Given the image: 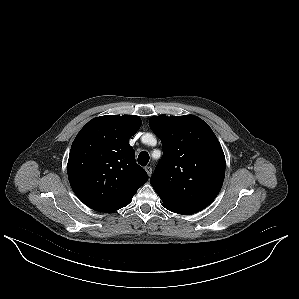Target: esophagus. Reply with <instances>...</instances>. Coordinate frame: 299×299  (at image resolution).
Returning a JSON list of instances; mask_svg holds the SVG:
<instances>
[{
	"label": "esophagus",
	"mask_w": 299,
	"mask_h": 299,
	"mask_svg": "<svg viewBox=\"0 0 299 299\" xmlns=\"http://www.w3.org/2000/svg\"><path fill=\"white\" fill-rule=\"evenodd\" d=\"M145 170H146L148 176L150 177V176L152 175V167H150V166H146V167H145Z\"/></svg>",
	"instance_id": "esophagus-1"
}]
</instances>
